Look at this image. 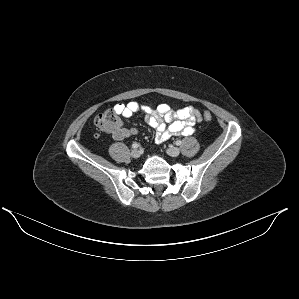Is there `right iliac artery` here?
<instances>
[{
  "label": "right iliac artery",
  "mask_w": 299,
  "mask_h": 299,
  "mask_svg": "<svg viewBox=\"0 0 299 299\" xmlns=\"http://www.w3.org/2000/svg\"><path fill=\"white\" fill-rule=\"evenodd\" d=\"M140 145L138 144V143H133L132 144V148H134V149H136V148H138Z\"/></svg>",
  "instance_id": "1"
}]
</instances>
